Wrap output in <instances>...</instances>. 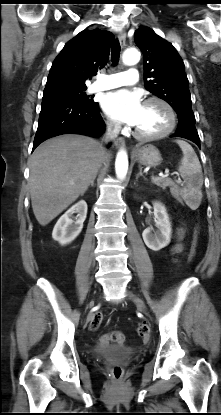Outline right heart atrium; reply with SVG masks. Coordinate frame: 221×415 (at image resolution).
I'll return each mask as SVG.
<instances>
[{"label": "right heart atrium", "mask_w": 221, "mask_h": 415, "mask_svg": "<svg viewBox=\"0 0 221 415\" xmlns=\"http://www.w3.org/2000/svg\"><path fill=\"white\" fill-rule=\"evenodd\" d=\"M106 124H107L108 129L111 132H114L115 133V132H117L120 129L119 124L116 121H114V120L108 119L106 121Z\"/></svg>", "instance_id": "obj_1"}]
</instances>
